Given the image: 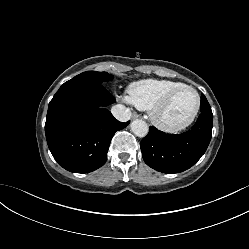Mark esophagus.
Instances as JSON below:
<instances>
[{
	"mask_svg": "<svg viewBox=\"0 0 249 249\" xmlns=\"http://www.w3.org/2000/svg\"><path fill=\"white\" fill-rule=\"evenodd\" d=\"M138 117H139V115L136 114V113H134V114L132 115V118H133V119H136V118H138Z\"/></svg>",
	"mask_w": 249,
	"mask_h": 249,
	"instance_id": "obj_1",
	"label": "esophagus"
}]
</instances>
